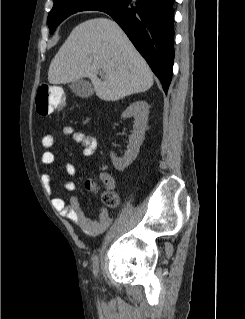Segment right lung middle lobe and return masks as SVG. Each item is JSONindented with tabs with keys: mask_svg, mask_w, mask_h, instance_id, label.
<instances>
[{
	"mask_svg": "<svg viewBox=\"0 0 245 319\" xmlns=\"http://www.w3.org/2000/svg\"><path fill=\"white\" fill-rule=\"evenodd\" d=\"M123 0H54V6L48 15L47 24L50 33L68 16L85 10L106 11L118 7Z\"/></svg>",
	"mask_w": 245,
	"mask_h": 319,
	"instance_id": "1",
	"label": "right lung middle lobe"
}]
</instances>
